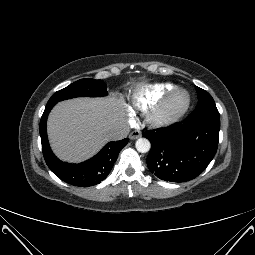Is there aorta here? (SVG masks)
<instances>
[{
	"label": "aorta",
	"mask_w": 255,
	"mask_h": 255,
	"mask_svg": "<svg viewBox=\"0 0 255 255\" xmlns=\"http://www.w3.org/2000/svg\"><path fill=\"white\" fill-rule=\"evenodd\" d=\"M136 149L140 153H146L150 150L151 148V143L148 139L146 138H139L137 139L135 143Z\"/></svg>",
	"instance_id": "obj_1"
}]
</instances>
